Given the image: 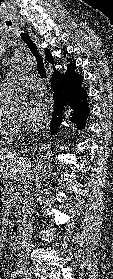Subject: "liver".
<instances>
[{"label": "liver", "mask_w": 113, "mask_h": 279, "mask_svg": "<svg viewBox=\"0 0 113 279\" xmlns=\"http://www.w3.org/2000/svg\"><path fill=\"white\" fill-rule=\"evenodd\" d=\"M30 164L26 158H18L16 152L1 150L0 177L13 178L17 182H24L28 175Z\"/></svg>", "instance_id": "liver-1"}]
</instances>
